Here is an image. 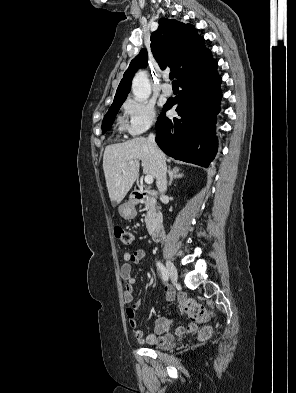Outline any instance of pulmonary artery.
Wrapping results in <instances>:
<instances>
[{
	"instance_id": "1",
	"label": "pulmonary artery",
	"mask_w": 296,
	"mask_h": 393,
	"mask_svg": "<svg viewBox=\"0 0 296 393\" xmlns=\"http://www.w3.org/2000/svg\"><path fill=\"white\" fill-rule=\"evenodd\" d=\"M162 92L164 95H171L173 92L172 86L169 84V76H164V83L162 84Z\"/></svg>"
}]
</instances>
